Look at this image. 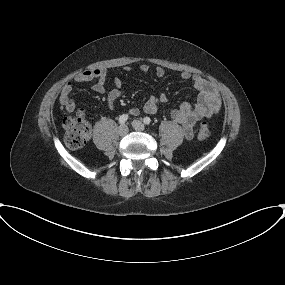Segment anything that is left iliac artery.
Here are the masks:
<instances>
[{"label": "left iliac artery", "mask_w": 285, "mask_h": 285, "mask_svg": "<svg viewBox=\"0 0 285 285\" xmlns=\"http://www.w3.org/2000/svg\"><path fill=\"white\" fill-rule=\"evenodd\" d=\"M143 122H144V124L149 125L150 122H151V119H150L149 117H145V118L143 119Z\"/></svg>", "instance_id": "1"}]
</instances>
